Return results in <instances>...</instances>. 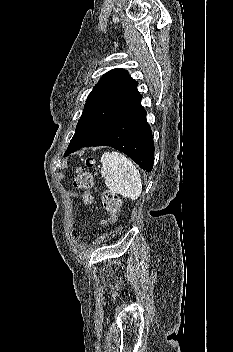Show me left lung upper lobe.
<instances>
[{
	"instance_id": "left-lung-upper-lobe-1",
	"label": "left lung upper lobe",
	"mask_w": 233,
	"mask_h": 352,
	"mask_svg": "<svg viewBox=\"0 0 233 352\" xmlns=\"http://www.w3.org/2000/svg\"><path fill=\"white\" fill-rule=\"evenodd\" d=\"M135 81L124 69L116 68L103 75L88 95L75 134L65 153H72L97 138L110 126L141 105L142 95Z\"/></svg>"
}]
</instances>
